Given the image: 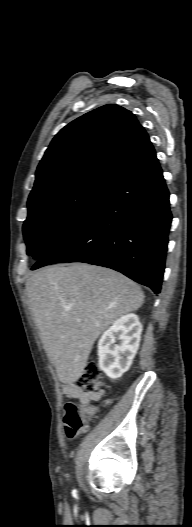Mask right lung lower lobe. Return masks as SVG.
I'll return each mask as SVG.
<instances>
[{"label":"right lung lower lobe","instance_id":"right-lung-lower-lobe-1","mask_svg":"<svg viewBox=\"0 0 192 527\" xmlns=\"http://www.w3.org/2000/svg\"><path fill=\"white\" fill-rule=\"evenodd\" d=\"M172 215L150 143L106 182L32 270L60 262L108 267L160 293Z\"/></svg>","mask_w":192,"mask_h":527}]
</instances>
